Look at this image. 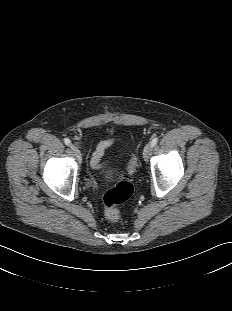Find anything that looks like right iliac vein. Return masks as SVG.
Here are the masks:
<instances>
[{
    "instance_id": "right-iliac-vein-1",
    "label": "right iliac vein",
    "mask_w": 232,
    "mask_h": 311,
    "mask_svg": "<svg viewBox=\"0 0 232 311\" xmlns=\"http://www.w3.org/2000/svg\"><path fill=\"white\" fill-rule=\"evenodd\" d=\"M71 149L75 153V155L78 157L79 161H81V154L77 146L71 145Z\"/></svg>"
}]
</instances>
